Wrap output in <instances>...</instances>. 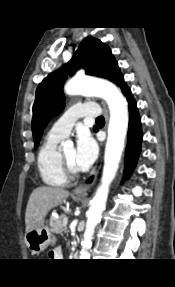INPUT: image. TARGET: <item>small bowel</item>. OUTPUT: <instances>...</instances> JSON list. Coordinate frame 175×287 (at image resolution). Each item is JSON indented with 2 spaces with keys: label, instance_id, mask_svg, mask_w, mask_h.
<instances>
[{
  "label": "small bowel",
  "instance_id": "obj_1",
  "mask_svg": "<svg viewBox=\"0 0 175 287\" xmlns=\"http://www.w3.org/2000/svg\"><path fill=\"white\" fill-rule=\"evenodd\" d=\"M52 255L54 257H61L62 256V253H61V250L59 248H55L53 251H52Z\"/></svg>",
  "mask_w": 175,
  "mask_h": 287
}]
</instances>
